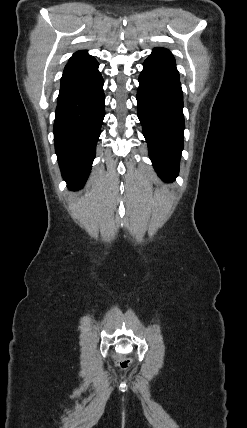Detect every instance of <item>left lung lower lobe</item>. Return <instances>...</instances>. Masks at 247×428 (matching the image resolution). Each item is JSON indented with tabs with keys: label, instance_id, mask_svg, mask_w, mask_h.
<instances>
[{
	"label": "left lung lower lobe",
	"instance_id": "left-lung-lower-lobe-1",
	"mask_svg": "<svg viewBox=\"0 0 247 428\" xmlns=\"http://www.w3.org/2000/svg\"><path fill=\"white\" fill-rule=\"evenodd\" d=\"M138 118L158 175L172 182L183 149V92L175 59L165 48H154L145 60L137 92Z\"/></svg>",
	"mask_w": 247,
	"mask_h": 428
}]
</instances>
